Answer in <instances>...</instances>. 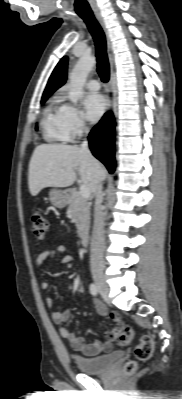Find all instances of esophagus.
Listing matches in <instances>:
<instances>
[{
    "instance_id": "obj_1",
    "label": "esophagus",
    "mask_w": 182,
    "mask_h": 399,
    "mask_svg": "<svg viewBox=\"0 0 182 399\" xmlns=\"http://www.w3.org/2000/svg\"><path fill=\"white\" fill-rule=\"evenodd\" d=\"M96 19L98 20L100 26L102 27V30L105 34L106 38V45H107V55H108V60H109V66H110V78L108 82V92L110 91L112 85H113V80H114V64H115V59H114V52H113V47H112V42L109 38L107 28L105 26V23L103 21V18L100 14L96 13ZM111 105V100L110 97H108V109L110 108Z\"/></svg>"
}]
</instances>
